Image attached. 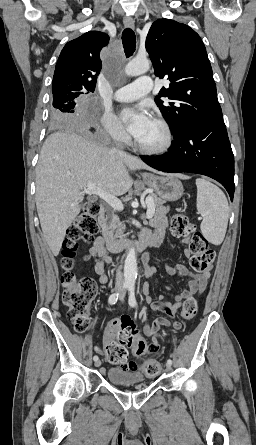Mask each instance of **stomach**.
<instances>
[{
	"label": "stomach",
	"instance_id": "obj_1",
	"mask_svg": "<svg viewBox=\"0 0 256 445\" xmlns=\"http://www.w3.org/2000/svg\"><path fill=\"white\" fill-rule=\"evenodd\" d=\"M144 182L154 190L157 196L165 201H177L184 193L181 181L173 175H146L144 176Z\"/></svg>",
	"mask_w": 256,
	"mask_h": 445
}]
</instances>
